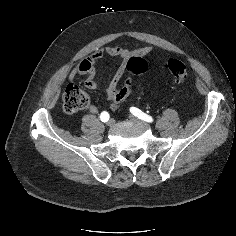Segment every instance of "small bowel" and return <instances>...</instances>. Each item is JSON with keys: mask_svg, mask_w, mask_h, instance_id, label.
Returning <instances> with one entry per match:
<instances>
[{"mask_svg": "<svg viewBox=\"0 0 236 236\" xmlns=\"http://www.w3.org/2000/svg\"><path fill=\"white\" fill-rule=\"evenodd\" d=\"M153 52L150 47H141L136 50H129L120 46H106L95 51L90 57L79 62L69 73V78L72 79L77 75H85L86 79L84 81V85L88 89L96 88V66L99 60L107 55L109 57L118 58L121 60V64L117 68L113 77L110 80V83L105 91V96L108 101L112 100L113 96L117 93L118 84L123 77L127 62L131 57H146ZM89 111L92 114H96L98 112V108L96 105L91 104L89 107Z\"/></svg>", "mask_w": 236, "mask_h": 236, "instance_id": "c3829d8e", "label": "small bowel"}]
</instances>
